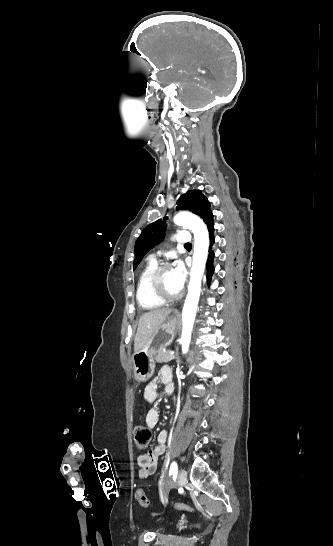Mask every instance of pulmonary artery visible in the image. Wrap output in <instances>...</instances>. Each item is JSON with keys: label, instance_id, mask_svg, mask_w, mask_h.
Returning a JSON list of instances; mask_svg holds the SVG:
<instances>
[{"label": "pulmonary artery", "instance_id": "pulmonary-artery-1", "mask_svg": "<svg viewBox=\"0 0 333 546\" xmlns=\"http://www.w3.org/2000/svg\"><path fill=\"white\" fill-rule=\"evenodd\" d=\"M175 240L178 242V243H182V244H187V243H190L191 241V235L188 231H179L176 235H175ZM153 260H155V257L153 256L152 257Z\"/></svg>", "mask_w": 333, "mask_h": 546}]
</instances>
